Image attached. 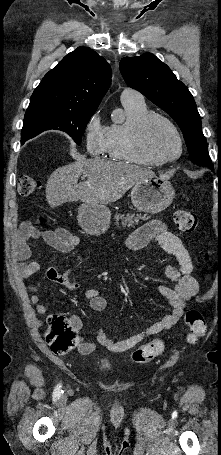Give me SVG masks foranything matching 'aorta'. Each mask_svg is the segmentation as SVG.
I'll use <instances>...</instances> for the list:
<instances>
[{"label": "aorta", "mask_w": 221, "mask_h": 455, "mask_svg": "<svg viewBox=\"0 0 221 455\" xmlns=\"http://www.w3.org/2000/svg\"><path fill=\"white\" fill-rule=\"evenodd\" d=\"M113 119L117 122H122L124 117H123L122 113H119V115L113 116Z\"/></svg>", "instance_id": "aorta-1"}]
</instances>
